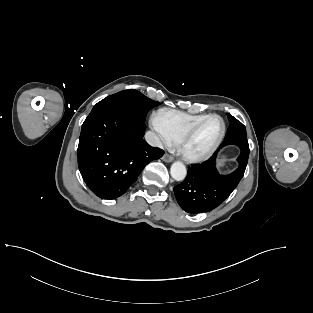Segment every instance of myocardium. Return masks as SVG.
I'll use <instances>...</instances> for the list:
<instances>
[{
    "label": "myocardium",
    "instance_id": "1",
    "mask_svg": "<svg viewBox=\"0 0 313 313\" xmlns=\"http://www.w3.org/2000/svg\"><path fill=\"white\" fill-rule=\"evenodd\" d=\"M218 118L221 121L222 124V130L221 133L217 139V141L215 142V144L213 145V147L206 153L204 154H200V155H193V154H189L186 151V144L188 143V141L190 140V138L193 136V134L196 132V130L208 119L210 118ZM226 134V123L225 120L223 119L222 116L212 113V114H208L205 117H203L201 120H199L198 122H196L195 124H193L190 128H188L185 133L180 137V139L177 142V148L178 151L180 152V154L182 155V157L189 161V162H202L205 161L207 159H209L210 157H212L214 155V153L218 150V148L220 147V145L222 144L224 137Z\"/></svg>",
    "mask_w": 313,
    "mask_h": 313
}]
</instances>
